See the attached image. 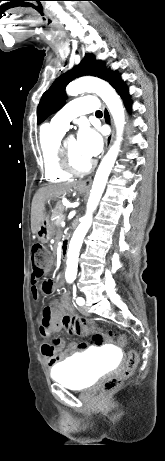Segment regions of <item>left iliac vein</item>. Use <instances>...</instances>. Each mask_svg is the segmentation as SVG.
I'll use <instances>...</instances> for the list:
<instances>
[{
	"label": "left iliac vein",
	"instance_id": "4c4485c4",
	"mask_svg": "<svg viewBox=\"0 0 165 461\" xmlns=\"http://www.w3.org/2000/svg\"><path fill=\"white\" fill-rule=\"evenodd\" d=\"M80 311L83 315H86V316L89 315L88 309L85 305L80 308Z\"/></svg>",
	"mask_w": 165,
	"mask_h": 461
}]
</instances>
